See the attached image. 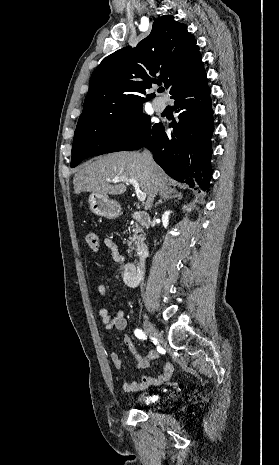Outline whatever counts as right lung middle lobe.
Here are the masks:
<instances>
[{"label": "right lung middle lobe", "instance_id": "1", "mask_svg": "<svg viewBox=\"0 0 279 465\" xmlns=\"http://www.w3.org/2000/svg\"><path fill=\"white\" fill-rule=\"evenodd\" d=\"M162 124L151 125L142 107L108 113L98 120L78 125L75 130L70 167L87 157L142 147L158 132Z\"/></svg>", "mask_w": 279, "mask_h": 465}]
</instances>
